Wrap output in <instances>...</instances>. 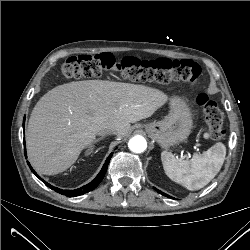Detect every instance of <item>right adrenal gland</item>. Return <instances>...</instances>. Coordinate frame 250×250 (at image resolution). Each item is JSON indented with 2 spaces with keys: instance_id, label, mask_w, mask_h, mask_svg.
<instances>
[{
  "instance_id": "2a0ac1e0",
  "label": "right adrenal gland",
  "mask_w": 250,
  "mask_h": 250,
  "mask_svg": "<svg viewBox=\"0 0 250 250\" xmlns=\"http://www.w3.org/2000/svg\"><path fill=\"white\" fill-rule=\"evenodd\" d=\"M104 138H105V136H102V137H100V138L95 139V140L92 142V144H90V145L88 146V149H87V151H86V154H91V153H93V152H94V148H95L94 144H96L97 142L101 141V140L104 139Z\"/></svg>"
}]
</instances>
